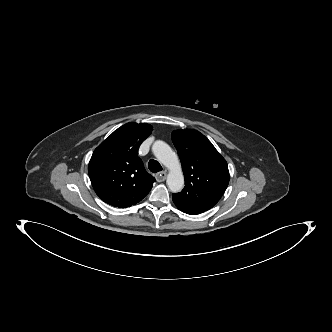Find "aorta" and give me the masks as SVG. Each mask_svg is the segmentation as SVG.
Returning a JSON list of instances; mask_svg holds the SVG:
<instances>
[{
	"label": "aorta",
	"mask_w": 332,
	"mask_h": 332,
	"mask_svg": "<svg viewBox=\"0 0 332 332\" xmlns=\"http://www.w3.org/2000/svg\"><path fill=\"white\" fill-rule=\"evenodd\" d=\"M152 151L157 160L169 169L168 188L174 193L180 192L184 187V176L176 153L167 143L160 140L153 143Z\"/></svg>",
	"instance_id": "1"
}]
</instances>
